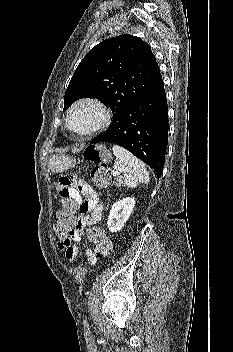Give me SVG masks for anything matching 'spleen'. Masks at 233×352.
<instances>
[{
  "label": "spleen",
  "instance_id": "1",
  "mask_svg": "<svg viewBox=\"0 0 233 352\" xmlns=\"http://www.w3.org/2000/svg\"><path fill=\"white\" fill-rule=\"evenodd\" d=\"M112 151L116 156L114 169L124 173L125 186L134 188L139 183L148 184L149 174L142 161L121 146L113 145Z\"/></svg>",
  "mask_w": 233,
  "mask_h": 352
}]
</instances>
